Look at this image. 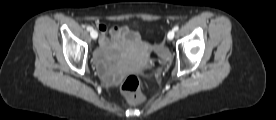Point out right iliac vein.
Instances as JSON below:
<instances>
[{
  "instance_id": "63e3f726",
  "label": "right iliac vein",
  "mask_w": 276,
  "mask_h": 120,
  "mask_svg": "<svg viewBox=\"0 0 276 120\" xmlns=\"http://www.w3.org/2000/svg\"><path fill=\"white\" fill-rule=\"evenodd\" d=\"M90 35H91V37H92L93 39H96L97 36H98V33H97L96 30H91Z\"/></svg>"
}]
</instances>
